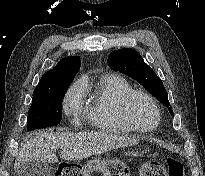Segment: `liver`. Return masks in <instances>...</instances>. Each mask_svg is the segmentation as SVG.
Wrapping results in <instances>:
<instances>
[{"mask_svg": "<svg viewBox=\"0 0 205 176\" xmlns=\"http://www.w3.org/2000/svg\"><path fill=\"white\" fill-rule=\"evenodd\" d=\"M136 143L135 139L106 133H53L41 132L33 136L21 148L14 164L17 171L21 164L29 161L58 162L56 150L62 149L64 160H81L111 149Z\"/></svg>", "mask_w": 205, "mask_h": 176, "instance_id": "6515ba94", "label": "liver"}]
</instances>
